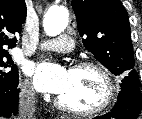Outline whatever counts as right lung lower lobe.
Wrapping results in <instances>:
<instances>
[{
  "mask_svg": "<svg viewBox=\"0 0 142 119\" xmlns=\"http://www.w3.org/2000/svg\"><path fill=\"white\" fill-rule=\"evenodd\" d=\"M17 86L11 89L0 88V116L11 117L12 114L17 113L19 100V90Z\"/></svg>",
  "mask_w": 142,
  "mask_h": 119,
  "instance_id": "right-lung-lower-lobe-1",
  "label": "right lung lower lobe"
}]
</instances>
